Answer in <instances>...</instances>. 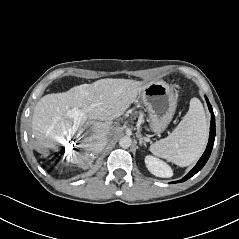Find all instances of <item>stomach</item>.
<instances>
[{"mask_svg": "<svg viewBox=\"0 0 239 239\" xmlns=\"http://www.w3.org/2000/svg\"><path fill=\"white\" fill-rule=\"evenodd\" d=\"M149 115L153 132H163L171 122L177 107V99L172 88L164 81L145 83L140 91Z\"/></svg>", "mask_w": 239, "mask_h": 239, "instance_id": "obj_1", "label": "stomach"}]
</instances>
